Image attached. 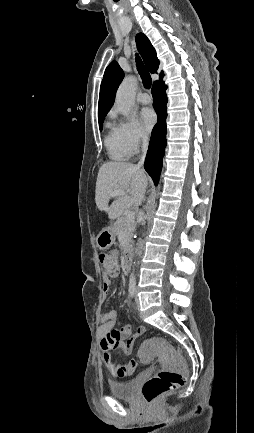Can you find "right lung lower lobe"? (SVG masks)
<instances>
[{"label": "right lung lower lobe", "instance_id": "right-lung-lower-lobe-1", "mask_svg": "<svg viewBox=\"0 0 254 433\" xmlns=\"http://www.w3.org/2000/svg\"><path fill=\"white\" fill-rule=\"evenodd\" d=\"M162 77L152 87L153 105L157 113L158 122L152 130L144 165L145 170L152 177L155 185L159 181L166 146L167 96L165 94L166 86L162 81Z\"/></svg>", "mask_w": 254, "mask_h": 433}]
</instances>
